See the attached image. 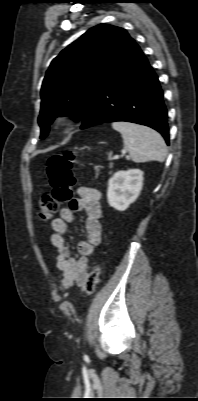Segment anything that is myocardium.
<instances>
[{
  "instance_id": "1",
  "label": "myocardium",
  "mask_w": 198,
  "mask_h": 401,
  "mask_svg": "<svg viewBox=\"0 0 198 401\" xmlns=\"http://www.w3.org/2000/svg\"><path fill=\"white\" fill-rule=\"evenodd\" d=\"M75 125V121L70 114L58 115L54 119V126L58 131L68 132Z\"/></svg>"
}]
</instances>
